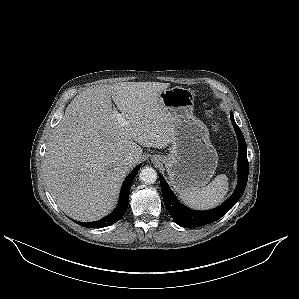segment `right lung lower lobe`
Masks as SVG:
<instances>
[{
    "label": "right lung lower lobe",
    "mask_w": 299,
    "mask_h": 299,
    "mask_svg": "<svg viewBox=\"0 0 299 299\" xmlns=\"http://www.w3.org/2000/svg\"><path fill=\"white\" fill-rule=\"evenodd\" d=\"M139 168H140V165L137 166L125 179V181L122 185V188H121L119 204H118L117 208L111 214H109L107 217H105L101 220L94 221V222H88V223L80 222V221H74V222L83 227L102 228V227L112 225L115 222H117L118 220H120L124 216V214L127 210L128 203H129L130 188H131L133 179L135 178Z\"/></svg>",
    "instance_id": "1"
}]
</instances>
